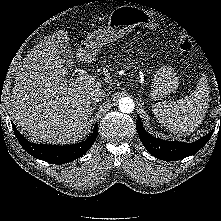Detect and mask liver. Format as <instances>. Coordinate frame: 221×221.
<instances>
[{
	"label": "liver",
	"instance_id": "1",
	"mask_svg": "<svg viewBox=\"0 0 221 221\" xmlns=\"http://www.w3.org/2000/svg\"><path fill=\"white\" fill-rule=\"evenodd\" d=\"M67 32L59 31L43 40L23 59L16 74L11 114L20 131L32 141L67 143L77 138L91 116L90 92L106 81H67V65L58 48L67 45ZM77 61L91 59L78 49Z\"/></svg>",
	"mask_w": 221,
	"mask_h": 221
}]
</instances>
